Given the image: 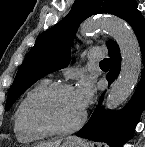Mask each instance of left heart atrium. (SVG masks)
Masks as SVG:
<instances>
[{
    "label": "left heart atrium",
    "instance_id": "obj_1",
    "mask_svg": "<svg viewBox=\"0 0 145 147\" xmlns=\"http://www.w3.org/2000/svg\"><path fill=\"white\" fill-rule=\"evenodd\" d=\"M74 94L81 108L84 110L92 96L91 83L87 79H81L77 88L74 90Z\"/></svg>",
    "mask_w": 145,
    "mask_h": 147
}]
</instances>
